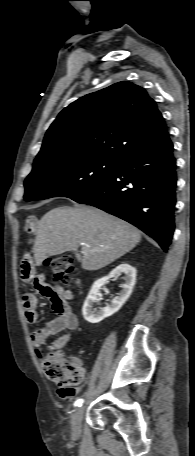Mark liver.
Segmentation results:
<instances>
[{
    "label": "liver",
    "instance_id": "6515ba94",
    "mask_svg": "<svg viewBox=\"0 0 195 456\" xmlns=\"http://www.w3.org/2000/svg\"><path fill=\"white\" fill-rule=\"evenodd\" d=\"M141 240L133 225L100 209L57 207L39 221L33 247L37 266L50 257L73 251L87 271L99 270L132 250ZM81 243V253L78 248Z\"/></svg>",
    "mask_w": 195,
    "mask_h": 456
}]
</instances>
